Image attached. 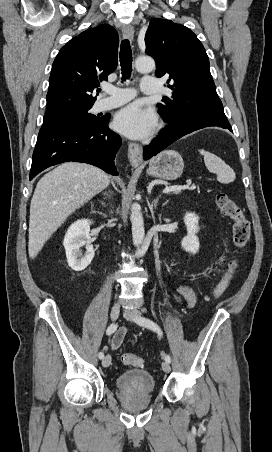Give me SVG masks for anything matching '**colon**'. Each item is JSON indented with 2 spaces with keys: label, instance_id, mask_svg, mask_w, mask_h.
Instances as JSON below:
<instances>
[{
  "label": "colon",
  "instance_id": "5ec220e1",
  "mask_svg": "<svg viewBox=\"0 0 272 452\" xmlns=\"http://www.w3.org/2000/svg\"><path fill=\"white\" fill-rule=\"evenodd\" d=\"M215 203L219 211L233 221V242L238 251L246 247L250 239V224L242 209L225 193L217 192L214 195ZM237 269V261L231 260L222 276L216 284L212 298L221 297L228 289L229 284ZM209 299V297H207ZM121 362L126 366H143L144 360L133 353H124L121 355Z\"/></svg>",
  "mask_w": 272,
  "mask_h": 452
}]
</instances>
